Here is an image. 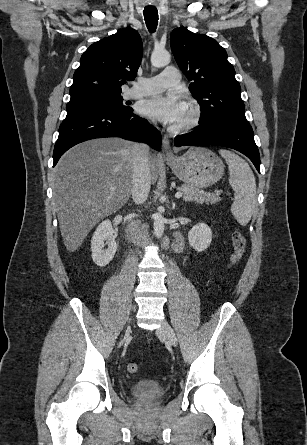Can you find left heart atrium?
<instances>
[{"label": "left heart atrium", "instance_id": "39dd6f15", "mask_svg": "<svg viewBox=\"0 0 307 445\" xmlns=\"http://www.w3.org/2000/svg\"><path fill=\"white\" fill-rule=\"evenodd\" d=\"M188 110L186 102L177 92L163 91L144 100L141 113L163 122L177 123Z\"/></svg>", "mask_w": 307, "mask_h": 445}]
</instances>
